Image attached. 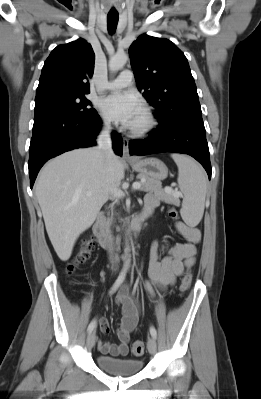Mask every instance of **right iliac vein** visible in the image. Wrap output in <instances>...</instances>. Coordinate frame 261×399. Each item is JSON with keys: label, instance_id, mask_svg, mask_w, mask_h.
Listing matches in <instances>:
<instances>
[{"label": "right iliac vein", "instance_id": "1", "mask_svg": "<svg viewBox=\"0 0 261 399\" xmlns=\"http://www.w3.org/2000/svg\"><path fill=\"white\" fill-rule=\"evenodd\" d=\"M95 341H96V336L94 332H91L88 337H87V348L91 349L94 345H95Z\"/></svg>", "mask_w": 261, "mask_h": 399}]
</instances>
